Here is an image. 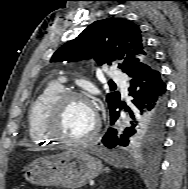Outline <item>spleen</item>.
<instances>
[{
  "label": "spleen",
  "mask_w": 188,
  "mask_h": 189,
  "mask_svg": "<svg viewBox=\"0 0 188 189\" xmlns=\"http://www.w3.org/2000/svg\"><path fill=\"white\" fill-rule=\"evenodd\" d=\"M107 172H109V169L107 168V169H105Z\"/></svg>",
  "instance_id": "obj_1"
}]
</instances>
